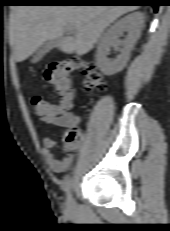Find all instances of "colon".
<instances>
[{"label": "colon", "mask_w": 170, "mask_h": 231, "mask_svg": "<svg viewBox=\"0 0 170 231\" xmlns=\"http://www.w3.org/2000/svg\"><path fill=\"white\" fill-rule=\"evenodd\" d=\"M77 70L83 75V87L87 91H104L106 82L97 67L78 58H68L55 62L45 70L46 80L53 86L58 95L59 104L55 105L41 97H33L32 105L36 115L44 122H50L58 114L67 109L73 98V77ZM83 138V132L77 126H72L65 132L66 147L77 145Z\"/></svg>", "instance_id": "colon-1"}]
</instances>
